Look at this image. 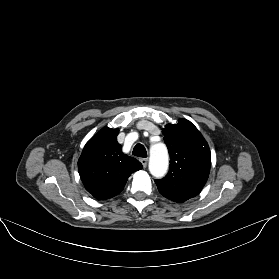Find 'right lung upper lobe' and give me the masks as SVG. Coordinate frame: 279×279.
<instances>
[{
  "label": "right lung upper lobe",
  "mask_w": 279,
  "mask_h": 279,
  "mask_svg": "<svg viewBox=\"0 0 279 279\" xmlns=\"http://www.w3.org/2000/svg\"><path fill=\"white\" fill-rule=\"evenodd\" d=\"M118 129L103 128L90 139L78 160V170L86 190L99 200L119 194L129 176L142 164L122 153Z\"/></svg>",
  "instance_id": "cb5924a9"
}]
</instances>
